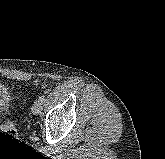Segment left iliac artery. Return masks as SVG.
I'll return each instance as SVG.
<instances>
[{
    "instance_id": "44dca946",
    "label": "left iliac artery",
    "mask_w": 165,
    "mask_h": 159,
    "mask_svg": "<svg viewBox=\"0 0 165 159\" xmlns=\"http://www.w3.org/2000/svg\"><path fill=\"white\" fill-rule=\"evenodd\" d=\"M39 100H40L42 103H44V101H45V95H44V94L41 95V96L39 97Z\"/></svg>"
}]
</instances>
